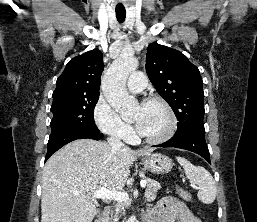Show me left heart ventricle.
I'll use <instances>...</instances> for the list:
<instances>
[{
    "label": "left heart ventricle",
    "mask_w": 257,
    "mask_h": 222,
    "mask_svg": "<svg viewBox=\"0 0 257 222\" xmlns=\"http://www.w3.org/2000/svg\"><path fill=\"white\" fill-rule=\"evenodd\" d=\"M131 120L140 123L139 133L146 137H156L163 134L169 125L168 114L159 103L137 106Z\"/></svg>",
    "instance_id": "1"
}]
</instances>
